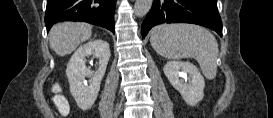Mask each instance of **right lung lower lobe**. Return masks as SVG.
Segmentation results:
<instances>
[{
  "instance_id": "1",
  "label": "right lung lower lobe",
  "mask_w": 273,
  "mask_h": 118,
  "mask_svg": "<svg viewBox=\"0 0 273 118\" xmlns=\"http://www.w3.org/2000/svg\"><path fill=\"white\" fill-rule=\"evenodd\" d=\"M116 0H47V32L59 21H84L114 31Z\"/></svg>"
}]
</instances>
